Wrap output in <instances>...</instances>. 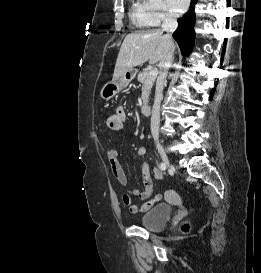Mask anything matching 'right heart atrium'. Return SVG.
Here are the masks:
<instances>
[{"label":"right heart atrium","mask_w":261,"mask_h":273,"mask_svg":"<svg viewBox=\"0 0 261 273\" xmlns=\"http://www.w3.org/2000/svg\"><path fill=\"white\" fill-rule=\"evenodd\" d=\"M142 21L146 27H157L175 18L164 0H140Z\"/></svg>","instance_id":"1"}]
</instances>
